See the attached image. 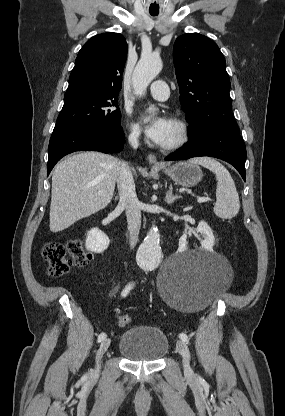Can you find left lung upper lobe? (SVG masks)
I'll return each mask as SVG.
<instances>
[{
    "mask_svg": "<svg viewBox=\"0 0 285 416\" xmlns=\"http://www.w3.org/2000/svg\"><path fill=\"white\" fill-rule=\"evenodd\" d=\"M173 61L180 102L190 124L189 137L220 124L236 123L225 58L215 42L198 33L183 34L174 43Z\"/></svg>",
    "mask_w": 285,
    "mask_h": 416,
    "instance_id": "5c2ea615",
    "label": "left lung upper lobe"
}]
</instances>
